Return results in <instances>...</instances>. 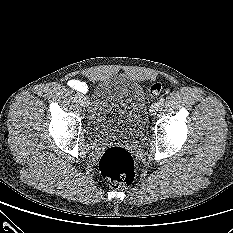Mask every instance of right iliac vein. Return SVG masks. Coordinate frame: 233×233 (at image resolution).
Listing matches in <instances>:
<instances>
[{
	"mask_svg": "<svg viewBox=\"0 0 233 233\" xmlns=\"http://www.w3.org/2000/svg\"><path fill=\"white\" fill-rule=\"evenodd\" d=\"M79 100H80V103H81V105H82L83 107H87V106L89 105V99H88V97L82 95V96L79 98Z\"/></svg>",
	"mask_w": 233,
	"mask_h": 233,
	"instance_id": "obj_1",
	"label": "right iliac vein"
}]
</instances>
